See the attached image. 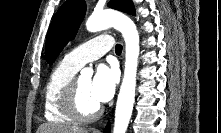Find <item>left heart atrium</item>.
Instances as JSON below:
<instances>
[{
  "mask_svg": "<svg viewBox=\"0 0 221 133\" xmlns=\"http://www.w3.org/2000/svg\"><path fill=\"white\" fill-rule=\"evenodd\" d=\"M118 72L114 67L100 64L91 82L93 98L100 104L109 101L115 92Z\"/></svg>",
  "mask_w": 221,
  "mask_h": 133,
  "instance_id": "obj_1",
  "label": "left heart atrium"
}]
</instances>
